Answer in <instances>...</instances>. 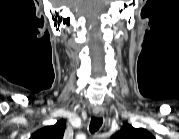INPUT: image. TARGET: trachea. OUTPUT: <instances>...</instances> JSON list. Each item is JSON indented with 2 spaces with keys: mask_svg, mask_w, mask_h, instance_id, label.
Here are the masks:
<instances>
[{
  "mask_svg": "<svg viewBox=\"0 0 179 139\" xmlns=\"http://www.w3.org/2000/svg\"><path fill=\"white\" fill-rule=\"evenodd\" d=\"M102 123H103L102 118L92 117L89 125L90 132L95 133L96 131H98L99 128L102 126Z\"/></svg>",
  "mask_w": 179,
  "mask_h": 139,
  "instance_id": "obj_1",
  "label": "trachea"
}]
</instances>
